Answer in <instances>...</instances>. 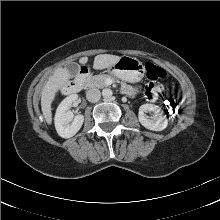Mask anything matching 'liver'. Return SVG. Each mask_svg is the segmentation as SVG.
Here are the masks:
<instances>
[{"label": "liver", "mask_w": 220, "mask_h": 220, "mask_svg": "<svg viewBox=\"0 0 220 220\" xmlns=\"http://www.w3.org/2000/svg\"><path fill=\"white\" fill-rule=\"evenodd\" d=\"M121 57L111 54H100L94 58L93 68L102 70L114 65ZM81 64L88 62V57L80 58ZM72 77L68 68L58 67L49 77L41 92V109L43 117L47 124L52 123V102L55 99L56 93L62 88L66 87Z\"/></svg>", "instance_id": "1"}]
</instances>
